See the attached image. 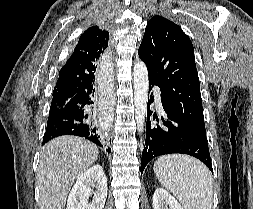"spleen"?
Wrapping results in <instances>:
<instances>
[{
    "mask_svg": "<svg viewBox=\"0 0 253 209\" xmlns=\"http://www.w3.org/2000/svg\"><path fill=\"white\" fill-rule=\"evenodd\" d=\"M153 170L184 209H211L212 176L199 160L180 154L166 155L155 162Z\"/></svg>",
    "mask_w": 253,
    "mask_h": 209,
    "instance_id": "obj_1",
    "label": "spleen"
}]
</instances>
